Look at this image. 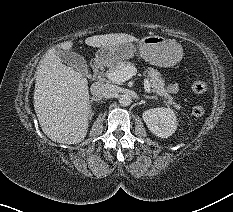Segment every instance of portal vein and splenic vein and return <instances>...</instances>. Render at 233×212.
Here are the masks:
<instances>
[{
  "label": "portal vein and splenic vein",
  "mask_w": 233,
  "mask_h": 212,
  "mask_svg": "<svg viewBox=\"0 0 233 212\" xmlns=\"http://www.w3.org/2000/svg\"><path fill=\"white\" fill-rule=\"evenodd\" d=\"M137 69L134 66L125 67L121 70L107 71L106 77L114 83L120 84L129 80L131 77L135 76ZM150 83L148 80H144V89L146 93H150Z\"/></svg>",
  "instance_id": "18ae733b"
}]
</instances>
